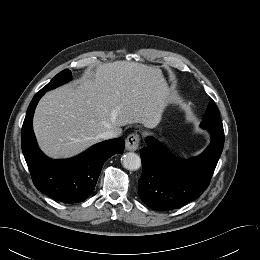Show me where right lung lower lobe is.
<instances>
[{
	"instance_id": "98d812e1",
	"label": "right lung lower lobe",
	"mask_w": 260,
	"mask_h": 260,
	"mask_svg": "<svg viewBox=\"0 0 260 260\" xmlns=\"http://www.w3.org/2000/svg\"><path fill=\"white\" fill-rule=\"evenodd\" d=\"M46 91L33 97L22 126V151L36 188L63 203L73 204L87 199L95 188L104 162L124 151L123 139H111L89 148L67 160H52L38 148L32 128L33 114Z\"/></svg>"
}]
</instances>
